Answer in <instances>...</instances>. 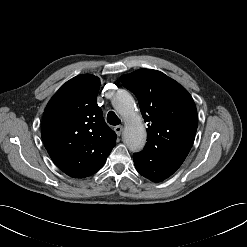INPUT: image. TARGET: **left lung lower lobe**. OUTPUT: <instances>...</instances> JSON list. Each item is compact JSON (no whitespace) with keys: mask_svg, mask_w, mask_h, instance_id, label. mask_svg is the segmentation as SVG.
<instances>
[{"mask_svg":"<svg viewBox=\"0 0 247 247\" xmlns=\"http://www.w3.org/2000/svg\"><path fill=\"white\" fill-rule=\"evenodd\" d=\"M186 157L174 155L161 156L154 153L134 154L133 159L137 171L144 177L160 182L171 176L183 163Z\"/></svg>","mask_w":247,"mask_h":247,"instance_id":"1","label":"left lung lower lobe"}]
</instances>
